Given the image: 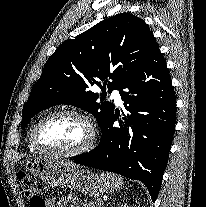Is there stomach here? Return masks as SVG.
<instances>
[{
  "instance_id": "obj_1",
  "label": "stomach",
  "mask_w": 206,
  "mask_h": 207,
  "mask_svg": "<svg viewBox=\"0 0 206 207\" xmlns=\"http://www.w3.org/2000/svg\"><path fill=\"white\" fill-rule=\"evenodd\" d=\"M26 171L49 186L69 188L82 194L98 197L113 189L109 178L78 165L50 158H35L25 162Z\"/></svg>"
}]
</instances>
